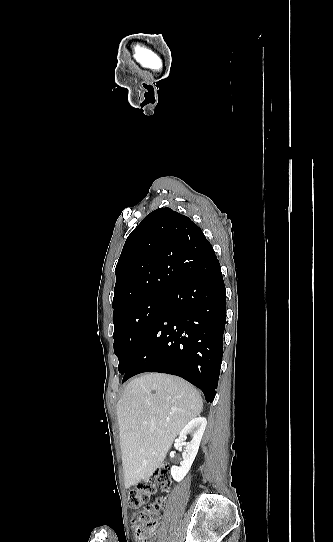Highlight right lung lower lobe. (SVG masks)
<instances>
[{
  "mask_svg": "<svg viewBox=\"0 0 333 542\" xmlns=\"http://www.w3.org/2000/svg\"><path fill=\"white\" fill-rule=\"evenodd\" d=\"M184 279L168 292L122 383L143 372L180 376L200 388L207 402L216 395L223 355L226 293L211 244L194 251L164 253Z\"/></svg>",
  "mask_w": 333,
  "mask_h": 542,
  "instance_id": "98d812e1",
  "label": "right lung lower lobe"
}]
</instances>
